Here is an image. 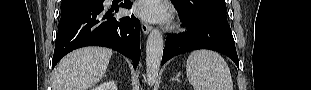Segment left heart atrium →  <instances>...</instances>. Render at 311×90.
<instances>
[{
    "label": "left heart atrium",
    "mask_w": 311,
    "mask_h": 90,
    "mask_svg": "<svg viewBox=\"0 0 311 90\" xmlns=\"http://www.w3.org/2000/svg\"><path fill=\"white\" fill-rule=\"evenodd\" d=\"M135 12L141 18L158 22L164 21L167 18L166 9L158 0H141L135 6Z\"/></svg>",
    "instance_id": "39dd6f15"
}]
</instances>
